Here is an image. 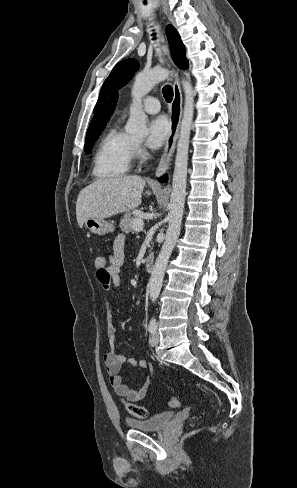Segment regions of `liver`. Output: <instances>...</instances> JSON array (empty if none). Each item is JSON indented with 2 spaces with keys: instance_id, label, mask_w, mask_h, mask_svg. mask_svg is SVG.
Returning a JSON list of instances; mask_svg holds the SVG:
<instances>
[{
  "instance_id": "1",
  "label": "liver",
  "mask_w": 297,
  "mask_h": 488,
  "mask_svg": "<svg viewBox=\"0 0 297 488\" xmlns=\"http://www.w3.org/2000/svg\"><path fill=\"white\" fill-rule=\"evenodd\" d=\"M145 180L137 175L99 179L78 195L76 217L80 227L87 218H108L141 204Z\"/></svg>"
}]
</instances>
